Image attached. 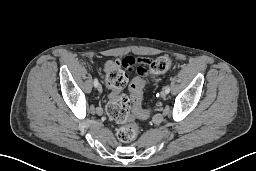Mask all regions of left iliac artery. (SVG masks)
<instances>
[{"label":"left iliac artery","instance_id":"left-iliac-artery-1","mask_svg":"<svg viewBox=\"0 0 256 171\" xmlns=\"http://www.w3.org/2000/svg\"><path fill=\"white\" fill-rule=\"evenodd\" d=\"M165 90H166L167 93L170 92V87H169V85H167V86L165 87Z\"/></svg>","mask_w":256,"mask_h":171}]
</instances>
